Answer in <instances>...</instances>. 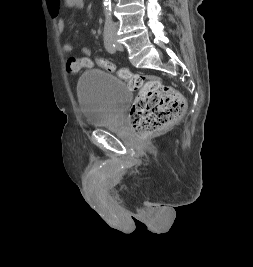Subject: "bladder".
Listing matches in <instances>:
<instances>
[{
    "label": "bladder",
    "mask_w": 253,
    "mask_h": 267,
    "mask_svg": "<svg viewBox=\"0 0 253 267\" xmlns=\"http://www.w3.org/2000/svg\"><path fill=\"white\" fill-rule=\"evenodd\" d=\"M77 92L84 120L95 128L115 122L133 96L128 84L97 70L82 74Z\"/></svg>",
    "instance_id": "31cf9c89"
}]
</instances>
